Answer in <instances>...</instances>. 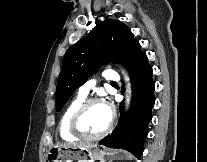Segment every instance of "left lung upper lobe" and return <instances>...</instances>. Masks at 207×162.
<instances>
[{
    "instance_id": "5c2ea615",
    "label": "left lung upper lobe",
    "mask_w": 207,
    "mask_h": 162,
    "mask_svg": "<svg viewBox=\"0 0 207 162\" xmlns=\"http://www.w3.org/2000/svg\"><path fill=\"white\" fill-rule=\"evenodd\" d=\"M142 53L130 29L114 19L96 23V27L71 46L63 59L57 81L56 111H60L73 92L107 60L126 68Z\"/></svg>"
}]
</instances>
